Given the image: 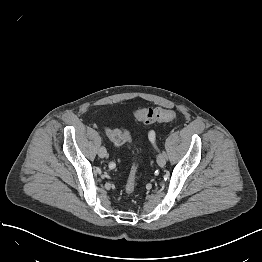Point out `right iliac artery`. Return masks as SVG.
<instances>
[{"label": "right iliac artery", "mask_w": 262, "mask_h": 262, "mask_svg": "<svg viewBox=\"0 0 262 262\" xmlns=\"http://www.w3.org/2000/svg\"><path fill=\"white\" fill-rule=\"evenodd\" d=\"M112 166H115V163L111 162V163L109 164V167H112Z\"/></svg>", "instance_id": "right-iliac-artery-1"}]
</instances>
